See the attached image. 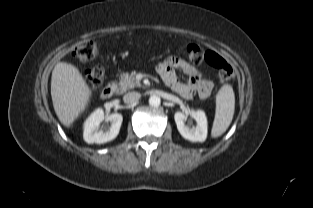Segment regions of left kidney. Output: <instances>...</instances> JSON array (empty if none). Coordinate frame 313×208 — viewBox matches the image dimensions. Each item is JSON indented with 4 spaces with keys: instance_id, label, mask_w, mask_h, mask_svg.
I'll return each mask as SVG.
<instances>
[{
    "instance_id": "left-kidney-1",
    "label": "left kidney",
    "mask_w": 313,
    "mask_h": 208,
    "mask_svg": "<svg viewBox=\"0 0 313 208\" xmlns=\"http://www.w3.org/2000/svg\"><path fill=\"white\" fill-rule=\"evenodd\" d=\"M190 115L196 120V127L185 125L187 115L182 112H176L174 115L177 129L183 138L192 142H204L207 138V118L203 111H190Z\"/></svg>"
}]
</instances>
